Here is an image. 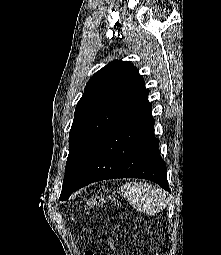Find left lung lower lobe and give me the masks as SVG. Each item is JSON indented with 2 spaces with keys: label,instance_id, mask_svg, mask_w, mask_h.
Listing matches in <instances>:
<instances>
[{
  "label": "left lung lower lobe",
  "instance_id": "0a47b994",
  "mask_svg": "<svg viewBox=\"0 0 221 255\" xmlns=\"http://www.w3.org/2000/svg\"><path fill=\"white\" fill-rule=\"evenodd\" d=\"M151 110L147 96L109 131L72 193L90 183L113 178L148 179L170 192Z\"/></svg>",
  "mask_w": 221,
  "mask_h": 255
}]
</instances>
